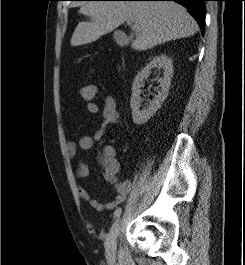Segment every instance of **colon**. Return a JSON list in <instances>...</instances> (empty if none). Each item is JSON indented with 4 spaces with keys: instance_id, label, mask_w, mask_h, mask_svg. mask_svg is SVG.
Wrapping results in <instances>:
<instances>
[{
    "instance_id": "1",
    "label": "colon",
    "mask_w": 245,
    "mask_h": 265,
    "mask_svg": "<svg viewBox=\"0 0 245 265\" xmlns=\"http://www.w3.org/2000/svg\"><path fill=\"white\" fill-rule=\"evenodd\" d=\"M80 95L82 99L89 103L94 101L97 96V86L94 84H87L81 87Z\"/></svg>"
}]
</instances>
